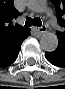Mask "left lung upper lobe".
<instances>
[{
  "instance_id": "1",
  "label": "left lung upper lobe",
  "mask_w": 65,
  "mask_h": 89,
  "mask_svg": "<svg viewBox=\"0 0 65 89\" xmlns=\"http://www.w3.org/2000/svg\"><path fill=\"white\" fill-rule=\"evenodd\" d=\"M52 2L54 3L58 20L64 27L63 32H57V34L65 35V0H52Z\"/></svg>"
}]
</instances>
